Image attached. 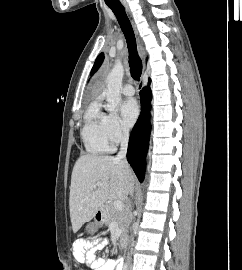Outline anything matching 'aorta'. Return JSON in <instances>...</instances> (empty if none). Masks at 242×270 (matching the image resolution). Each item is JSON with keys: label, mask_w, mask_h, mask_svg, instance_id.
<instances>
[{"label": "aorta", "mask_w": 242, "mask_h": 270, "mask_svg": "<svg viewBox=\"0 0 242 270\" xmlns=\"http://www.w3.org/2000/svg\"><path fill=\"white\" fill-rule=\"evenodd\" d=\"M123 76L124 67L121 63H116L107 76V87L105 91L107 104L105 105V109L109 112H114L120 103V89L122 87Z\"/></svg>", "instance_id": "762f6f07"}]
</instances>
